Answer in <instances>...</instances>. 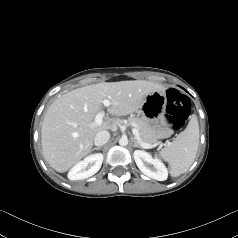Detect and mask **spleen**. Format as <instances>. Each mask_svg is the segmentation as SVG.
Listing matches in <instances>:
<instances>
[{
    "label": "spleen",
    "instance_id": "1",
    "mask_svg": "<svg viewBox=\"0 0 238 238\" xmlns=\"http://www.w3.org/2000/svg\"><path fill=\"white\" fill-rule=\"evenodd\" d=\"M198 145L199 125L197 117L192 115L186 129L159 152V156L169 163L171 176H180L190 168Z\"/></svg>",
    "mask_w": 238,
    "mask_h": 238
}]
</instances>
